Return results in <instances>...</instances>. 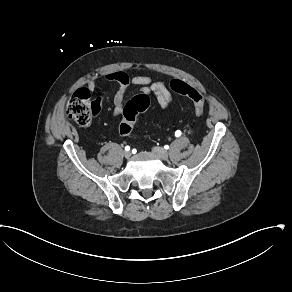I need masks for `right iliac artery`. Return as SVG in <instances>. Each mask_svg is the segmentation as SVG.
Here are the masks:
<instances>
[{"label":"right iliac artery","mask_w":292,"mask_h":292,"mask_svg":"<svg viewBox=\"0 0 292 292\" xmlns=\"http://www.w3.org/2000/svg\"><path fill=\"white\" fill-rule=\"evenodd\" d=\"M125 150H126V151H129V150H130V147H129V146H126V147H125Z\"/></svg>","instance_id":"obj_1"}]
</instances>
